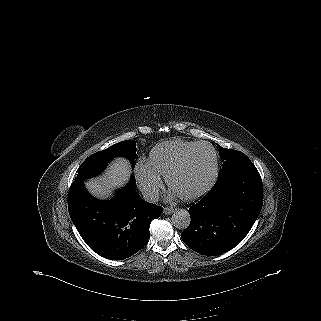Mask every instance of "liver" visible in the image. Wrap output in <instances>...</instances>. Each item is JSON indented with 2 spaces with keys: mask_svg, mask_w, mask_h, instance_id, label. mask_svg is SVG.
<instances>
[{
  "mask_svg": "<svg viewBox=\"0 0 321 321\" xmlns=\"http://www.w3.org/2000/svg\"><path fill=\"white\" fill-rule=\"evenodd\" d=\"M130 172L128 161L118 158L110 165L103 178L88 181L86 187L93 195L105 198L110 194L112 186H120L128 180Z\"/></svg>",
  "mask_w": 321,
  "mask_h": 321,
  "instance_id": "obj_1",
  "label": "liver"
}]
</instances>
